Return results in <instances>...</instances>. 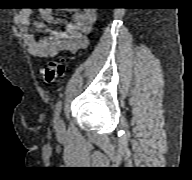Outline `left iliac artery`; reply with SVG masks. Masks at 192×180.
<instances>
[{
  "label": "left iliac artery",
  "mask_w": 192,
  "mask_h": 180,
  "mask_svg": "<svg viewBox=\"0 0 192 180\" xmlns=\"http://www.w3.org/2000/svg\"><path fill=\"white\" fill-rule=\"evenodd\" d=\"M61 110H62V101L59 100L55 105V114H56V116H59V114L61 113Z\"/></svg>",
  "instance_id": "obj_1"
}]
</instances>
